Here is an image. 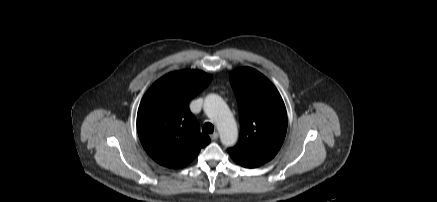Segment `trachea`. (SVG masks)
Instances as JSON below:
<instances>
[{"label":"trachea","mask_w":437,"mask_h":202,"mask_svg":"<svg viewBox=\"0 0 437 202\" xmlns=\"http://www.w3.org/2000/svg\"><path fill=\"white\" fill-rule=\"evenodd\" d=\"M202 131H203L204 133H207V134H211V133H213V131H214V126H213V124L210 123V122H206V123L203 125Z\"/></svg>","instance_id":"3493384b"}]
</instances>
